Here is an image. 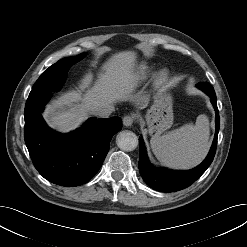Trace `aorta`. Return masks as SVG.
I'll use <instances>...</instances> for the list:
<instances>
[{
	"instance_id": "aorta-1",
	"label": "aorta",
	"mask_w": 247,
	"mask_h": 247,
	"mask_svg": "<svg viewBox=\"0 0 247 247\" xmlns=\"http://www.w3.org/2000/svg\"><path fill=\"white\" fill-rule=\"evenodd\" d=\"M117 146L124 151H133L138 146V137L132 131L124 130L117 134Z\"/></svg>"
}]
</instances>
